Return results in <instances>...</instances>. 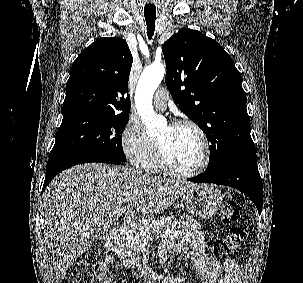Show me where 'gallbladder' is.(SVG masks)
<instances>
[{
	"instance_id": "gallbladder-1",
	"label": "gallbladder",
	"mask_w": 303,
	"mask_h": 283,
	"mask_svg": "<svg viewBox=\"0 0 303 283\" xmlns=\"http://www.w3.org/2000/svg\"><path fill=\"white\" fill-rule=\"evenodd\" d=\"M105 232L106 230H104L101 227H97L94 230V237L92 242L93 246L101 244V242L105 239V234H106Z\"/></svg>"
}]
</instances>
